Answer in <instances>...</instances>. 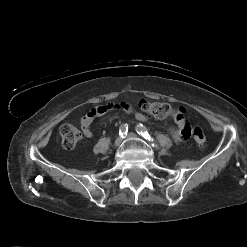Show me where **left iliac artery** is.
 I'll return each mask as SVG.
<instances>
[{"label":"left iliac artery","mask_w":247,"mask_h":247,"mask_svg":"<svg viewBox=\"0 0 247 247\" xmlns=\"http://www.w3.org/2000/svg\"><path fill=\"white\" fill-rule=\"evenodd\" d=\"M136 132L139 135L143 136L146 140L153 141V138L149 135L147 128L143 126L142 124H138L136 126ZM152 146L157 147V145L154 143L152 144Z\"/></svg>","instance_id":"44dca946"}]
</instances>
